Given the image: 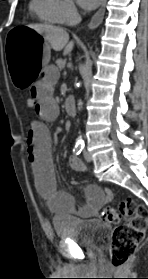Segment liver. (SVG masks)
I'll return each instance as SVG.
<instances>
[{
  "label": "liver",
  "instance_id": "1",
  "mask_svg": "<svg viewBox=\"0 0 148 279\" xmlns=\"http://www.w3.org/2000/svg\"><path fill=\"white\" fill-rule=\"evenodd\" d=\"M28 27L43 35L53 50L61 51L64 49V55L73 50L74 42H69V34L63 28L44 24H32L28 25Z\"/></svg>",
  "mask_w": 148,
  "mask_h": 279
}]
</instances>
